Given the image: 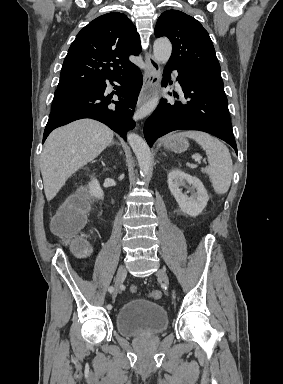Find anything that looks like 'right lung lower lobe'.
Listing matches in <instances>:
<instances>
[{"label":"right lung lower lobe","instance_id":"1","mask_svg":"<svg viewBox=\"0 0 283 384\" xmlns=\"http://www.w3.org/2000/svg\"><path fill=\"white\" fill-rule=\"evenodd\" d=\"M109 81L121 84L116 94L119 98L124 97L123 102L113 101L116 106L108 107L111 101L108 100V97H104L106 82L95 84L90 87L91 91L81 99L52 110L44 130L43 142L55 128L82 118H92L106 124L126 140L127 131L135 124L131 117L142 86V74L138 67H135L127 74Z\"/></svg>","mask_w":283,"mask_h":384}]
</instances>
